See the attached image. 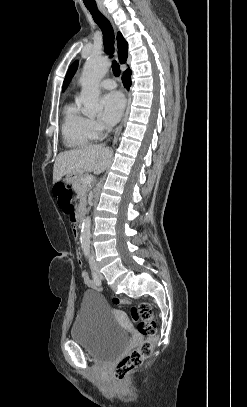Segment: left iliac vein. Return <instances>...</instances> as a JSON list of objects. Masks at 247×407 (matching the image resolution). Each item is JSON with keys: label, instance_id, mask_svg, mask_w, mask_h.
Returning a JSON list of instances; mask_svg holds the SVG:
<instances>
[{"label": "left iliac vein", "instance_id": "1", "mask_svg": "<svg viewBox=\"0 0 247 407\" xmlns=\"http://www.w3.org/2000/svg\"><path fill=\"white\" fill-rule=\"evenodd\" d=\"M94 267L96 268V264H94ZM99 276H100V278H101V279H103V277H102V275H101V274H99Z\"/></svg>", "mask_w": 247, "mask_h": 407}]
</instances>
